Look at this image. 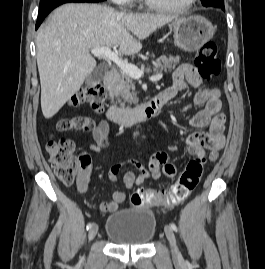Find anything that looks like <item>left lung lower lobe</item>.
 Instances as JSON below:
<instances>
[{
    "label": "left lung lower lobe",
    "mask_w": 265,
    "mask_h": 269,
    "mask_svg": "<svg viewBox=\"0 0 265 269\" xmlns=\"http://www.w3.org/2000/svg\"><path fill=\"white\" fill-rule=\"evenodd\" d=\"M212 7H217V8H221L222 10H225L224 7H218V6H212Z\"/></svg>",
    "instance_id": "0a47b994"
}]
</instances>
